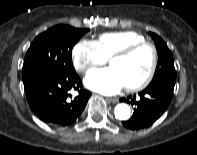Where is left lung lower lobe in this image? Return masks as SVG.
<instances>
[{
	"mask_svg": "<svg viewBox=\"0 0 197 155\" xmlns=\"http://www.w3.org/2000/svg\"><path fill=\"white\" fill-rule=\"evenodd\" d=\"M174 87L165 84L149 85L139 93L140 99L136 96L121 98L120 101L135 105L133 116L123 125L131 130H138L152 125L167 109Z\"/></svg>",
	"mask_w": 197,
	"mask_h": 155,
	"instance_id": "left-lung-lower-lobe-1",
	"label": "left lung lower lobe"
}]
</instances>
